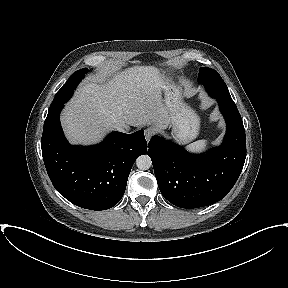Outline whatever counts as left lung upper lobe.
Listing matches in <instances>:
<instances>
[{"label": "left lung upper lobe", "instance_id": "left-lung-upper-lobe-1", "mask_svg": "<svg viewBox=\"0 0 288 288\" xmlns=\"http://www.w3.org/2000/svg\"><path fill=\"white\" fill-rule=\"evenodd\" d=\"M198 80L205 85L207 92L211 97L228 103H234L225 82L215 70L201 67Z\"/></svg>", "mask_w": 288, "mask_h": 288}]
</instances>
